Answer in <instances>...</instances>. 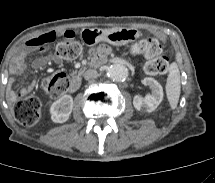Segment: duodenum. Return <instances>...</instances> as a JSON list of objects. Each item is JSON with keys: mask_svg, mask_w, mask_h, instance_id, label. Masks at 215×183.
Masks as SVG:
<instances>
[{"mask_svg": "<svg viewBox=\"0 0 215 183\" xmlns=\"http://www.w3.org/2000/svg\"><path fill=\"white\" fill-rule=\"evenodd\" d=\"M79 87H80L79 77H73L69 82L68 91L74 92V91L78 90Z\"/></svg>", "mask_w": 215, "mask_h": 183, "instance_id": "duodenum-1", "label": "duodenum"}]
</instances>
